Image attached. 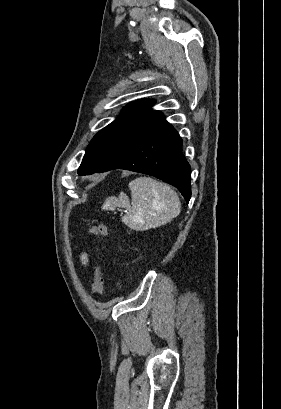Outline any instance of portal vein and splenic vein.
<instances>
[{
	"mask_svg": "<svg viewBox=\"0 0 281 409\" xmlns=\"http://www.w3.org/2000/svg\"><path fill=\"white\" fill-rule=\"evenodd\" d=\"M121 213H126V210H121Z\"/></svg>",
	"mask_w": 281,
	"mask_h": 409,
	"instance_id": "1",
	"label": "portal vein and splenic vein"
}]
</instances>
